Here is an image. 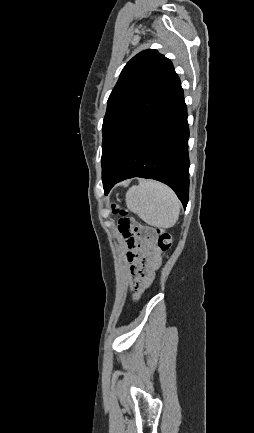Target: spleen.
Masks as SVG:
<instances>
[{
	"instance_id": "spleen-1",
	"label": "spleen",
	"mask_w": 254,
	"mask_h": 433,
	"mask_svg": "<svg viewBox=\"0 0 254 433\" xmlns=\"http://www.w3.org/2000/svg\"><path fill=\"white\" fill-rule=\"evenodd\" d=\"M127 208L147 224L170 228L179 218L180 201L171 188L154 180H143L126 193Z\"/></svg>"
}]
</instances>
